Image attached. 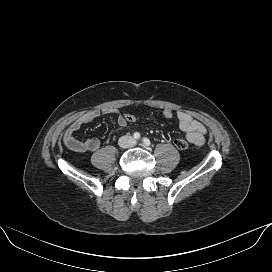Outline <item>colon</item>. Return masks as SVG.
Wrapping results in <instances>:
<instances>
[{
  "label": "colon",
  "mask_w": 272,
  "mask_h": 272,
  "mask_svg": "<svg viewBox=\"0 0 272 272\" xmlns=\"http://www.w3.org/2000/svg\"><path fill=\"white\" fill-rule=\"evenodd\" d=\"M162 116L166 119H171L174 117V112L171 109H164L162 111ZM124 118L128 123H134L138 119L134 114H125ZM174 145L180 150H186L189 147L188 142L183 139H176Z\"/></svg>",
  "instance_id": "obj_1"
}]
</instances>
